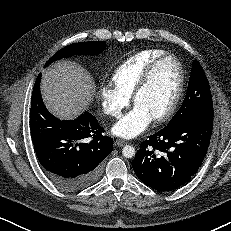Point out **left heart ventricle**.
I'll use <instances>...</instances> for the list:
<instances>
[{
    "label": "left heart ventricle",
    "instance_id": "left-heart-ventricle-1",
    "mask_svg": "<svg viewBox=\"0 0 231 231\" xmlns=\"http://www.w3.org/2000/svg\"><path fill=\"white\" fill-rule=\"evenodd\" d=\"M178 82V67L174 60L162 61L136 100L135 105L147 111L153 119L169 106Z\"/></svg>",
    "mask_w": 231,
    "mask_h": 231
}]
</instances>
